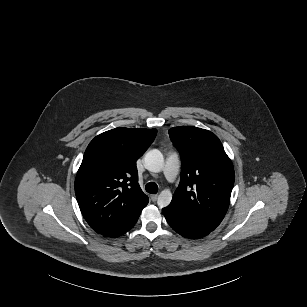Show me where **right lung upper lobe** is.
Wrapping results in <instances>:
<instances>
[{
  "mask_svg": "<svg viewBox=\"0 0 307 307\" xmlns=\"http://www.w3.org/2000/svg\"><path fill=\"white\" fill-rule=\"evenodd\" d=\"M156 133V129L115 128L88 145L76 175L75 194L83 217L97 233L113 231L147 205L136 161Z\"/></svg>",
  "mask_w": 307,
  "mask_h": 307,
  "instance_id": "obj_1",
  "label": "right lung upper lobe"
}]
</instances>
